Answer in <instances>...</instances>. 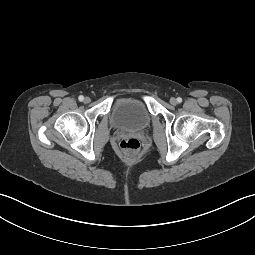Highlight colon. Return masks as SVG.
Here are the masks:
<instances>
[{
  "instance_id": "colon-1",
  "label": "colon",
  "mask_w": 255,
  "mask_h": 255,
  "mask_svg": "<svg viewBox=\"0 0 255 255\" xmlns=\"http://www.w3.org/2000/svg\"><path fill=\"white\" fill-rule=\"evenodd\" d=\"M120 148L127 156H134L140 149V142L135 137H125L120 141Z\"/></svg>"
}]
</instances>
